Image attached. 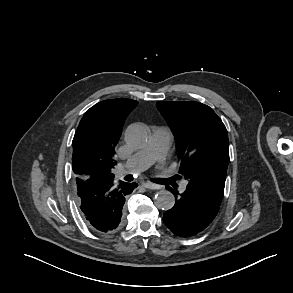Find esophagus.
<instances>
[{
	"label": "esophagus",
	"instance_id": "obj_1",
	"mask_svg": "<svg viewBox=\"0 0 293 293\" xmlns=\"http://www.w3.org/2000/svg\"><path fill=\"white\" fill-rule=\"evenodd\" d=\"M143 187L147 189H159L160 186L158 184L152 183V182H145L142 184Z\"/></svg>",
	"mask_w": 293,
	"mask_h": 293
}]
</instances>
